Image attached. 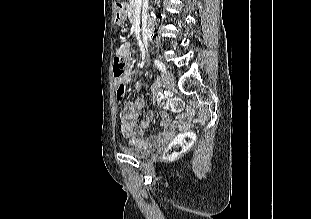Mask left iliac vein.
Segmentation results:
<instances>
[{
	"label": "left iliac vein",
	"instance_id": "1",
	"mask_svg": "<svg viewBox=\"0 0 311 219\" xmlns=\"http://www.w3.org/2000/svg\"><path fill=\"white\" fill-rule=\"evenodd\" d=\"M162 82L165 87L173 89L175 87V79L173 74L170 71H163L161 74Z\"/></svg>",
	"mask_w": 311,
	"mask_h": 219
}]
</instances>
